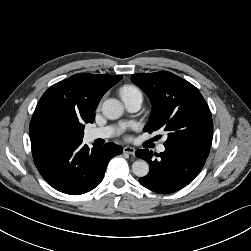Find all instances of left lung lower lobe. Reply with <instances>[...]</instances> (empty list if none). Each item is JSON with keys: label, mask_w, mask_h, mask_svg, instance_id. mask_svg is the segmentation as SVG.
Wrapping results in <instances>:
<instances>
[{"label": "left lung lower lobe", "mask_w": 251, "mask_h": 251, "mask_svg": "<svg viewBox=\"0 0 251 251\" xmlns=\"http://www.w3.org/2000/svg\"><path fill=\"white\" fill-rule=\"evenodd\" d=\"M210 147L201 144L189 147L165 146V151L155 154L148 149L136 151V156L150 165V172L139 179L142 186L159 193L178 191L202 170Z\"/></svg>", "instance_id": "obj_1"}]
</instances>
